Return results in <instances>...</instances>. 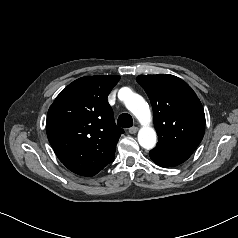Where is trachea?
Here are the masks:
<instances>
[{
  "label": "trachea",
  "mask_w": 238,
  "mask_h": 238,
  "mask_svg": "<svg viewBox=\"0 0 238 238\" xmlns=\"http://www.w3.org/2000/svg\"><path fill=\"white\" fill-rule=\"evenodd\" d=\"M117 125L122 128H129L133 126V119L129 114H121L117 120Z\"/></svg>",
  "instance_id": "trachea-1"
}]
</instances>
